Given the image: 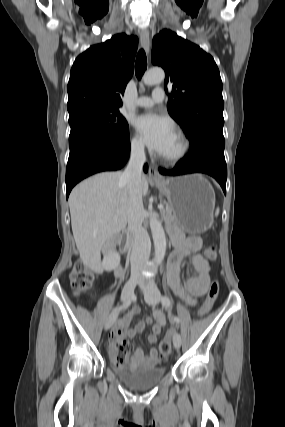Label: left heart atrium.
Wrapping results in <instances>:
<instances>
[{"label": "left heart atrium", "mask_w": 285, "mask_h": 427, "mask_svg": "<svg viewBox=\"0 0 285 427\" xmlns=\"http://www.w3.org/2000/svg\"><path fill=\"white\" fill-rule=\"evenodd\" d=\"M135 126L143 141L158 153L164 149L174 134V126L171 121L154 113L139 116Z\"/></svg>", "instance_id": "1"}]
</instances>
